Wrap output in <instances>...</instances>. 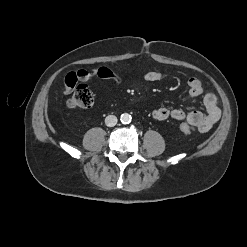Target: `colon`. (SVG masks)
I'll list each match as a JSON object with an SVG mask.
<instances>
[{
    "instance_id": "obj_1",
    "label": "colon",
    "mask_w": 247,
    "mask_h": 247,
    "mask_svg": "<svg viewBox=\"0 0 247 247\" xmlns=\"http://www.w3.org/2000/svg\"><path fill=\"white\" fill-rule=\"evenodd\" d=\"M67 104L71 108H89L93 104V95L86 85L80 84L73 90ZM179 131L183 134H190L193 131V126L182 123L179 126Z\"/></svg>"
}]
</instances>
